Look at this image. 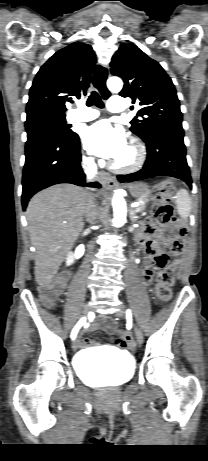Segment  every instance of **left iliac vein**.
<instances>
[{"mask_svg": "<svg viewBox=\"0 0 208 461\" xmlns=\"http://www.w3.org/2000/svg\"><path fill=\"white\" fill-rule=\"evenodd\" d=\"M116 316H118L120 318H126L127 317V312H126V310L124 308H120L116 312ZM134 329H135V335H136V339H137L138 343H142L143 342V333H142L141 329L137 325H134Z\"/></svg>", "mask_w": 208, "mask_h": 461, "instance_id": "1", "label": "left iliac vein"}]
</instances>
